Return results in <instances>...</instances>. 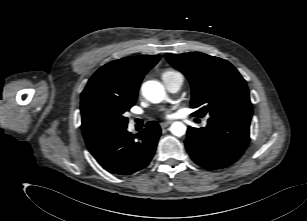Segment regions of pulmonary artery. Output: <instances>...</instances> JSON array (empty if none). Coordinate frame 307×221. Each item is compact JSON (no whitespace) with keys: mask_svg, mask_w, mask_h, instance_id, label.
<instances>
[{"mask_svg":"<svg viewBox=\"0 0 307 221\" xmlns=\"http://www.w3.org/2000/svg\"><path fill=\"white\" fill-rule=\"evenodd\" d=\"M164 84L171 93H177L182 88L184 78L181 74L164 78Z\"/></svg>","mask_w":307,"mask_h":221,"instance_id":"obj_1","label":"pulmonary artery"}]
</instances>
